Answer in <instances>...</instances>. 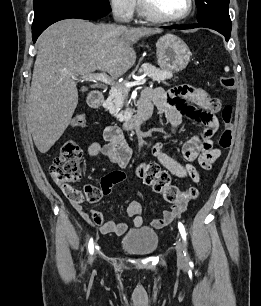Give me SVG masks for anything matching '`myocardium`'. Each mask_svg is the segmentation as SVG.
I'll use <instances>...</instances> for the list:
<instances>
[{
  "mask_svg": "<svg viewBox=\"0 0 261 306\" xmlns=\"http://www.w3.org/2000/svg\"><path fill=\"white\" fill-rule=\"evenodd\" d=\"M141 12L148 18L159 22H178L186 19L193 11L194 0H188V7L186 11L179 16H165L161 14L150 0H138Z\"/></svg>",
  "mask_w": 261,
  "mask_h": 306,
  "instance_id": "f54148a6",
  "label": "myocardium"
}]
</instances>
